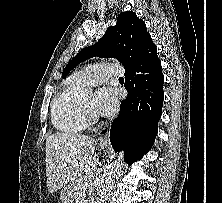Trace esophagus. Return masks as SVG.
<instances>
[{"label": "esophagus", "instance_id": "obj_1", "mask_svg": "<svg viewBox=\"0 0 222 203\" xmlns=\"http://www.w3.org/2000/svg\"><path fill=\"white\" fill-rule=\"evenodd\" d=\"M99 145L102 147H108L110 146L109 136L108 134L102 135L99 138Z\"/></svg>", "mask_w": 222, "mask_h": 203}]
</instances>
